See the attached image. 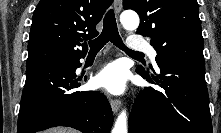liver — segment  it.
<instances>
[{"mask_svg": "<svg viewBox=\"0 0 221 133\" xmlns=\"http://www.w3.org/2000/svg\"><path fill=\"white\" fill-rule=\"evenodd\" d=\"M46 133H77V132L76 130L73 129L57 127L47 130Z\"/></svg>", "mask_w": 221, "mask_h": 133, "instance_id": "6515ba94", "label": "liver"}]
</instances>
